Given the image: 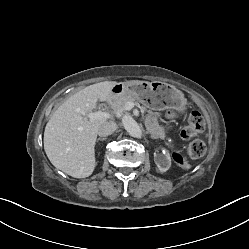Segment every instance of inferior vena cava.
Here are the masks:
<instances>
[{"label": "inferior vena cava", "instance_id": "obj_1", "mask_svg": "<svg viewBox=\"0 0 249 249\" xmlns=\"http://www.w3.org/2000/svg\"><path fill=\"white\" fill-rule=\"evenodd\" d=\"M117 130V124L114 121H105L98 128V135L100 137H106L111 135Z\"/></svg>", "mask_w": 249, "mask_h": 249}]
</instances>
